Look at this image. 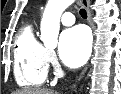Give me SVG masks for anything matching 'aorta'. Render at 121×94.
I'll list each match as a JSON object with an SVG mask.
<instances>
[{
    "label": "aorta",
    "instance_id": "aorta-1",
    "mask_svg": "<svg viewBox=\"0 0 121 94\" xmlns=\"http://www.w3.org/2000/svg\"><path fill=\"white\" fill-rule=\"evenodd\" d=\"M73 2L74 0H48L40 25V38L46 48L57 46L61 15Z\"/></svg>",
    "mask_w": 121,
    "mask_h": 94
}]
</instances>
